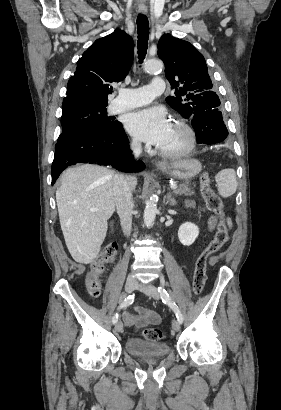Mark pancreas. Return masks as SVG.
<instances>
[{"label":"pancreas","mask_w":281,"mask_h":410,"mask_svg":"<svg viewBox=\"0 0 281 410\" xmlns=\"http://www.w3.org/2000/svg\"><path fill=\"white\" fill-rule=\"evenodd\" d=\"M173 192H174V194H176V195H182V194H184V195H187V196H192V195L195 194V192L193 191V188H191L188 183L180 184V185L178 186V188L175 189Z\"/></svg>","instance_id":"obj_1"}]
</instances>
